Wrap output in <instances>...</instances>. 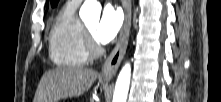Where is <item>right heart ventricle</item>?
Wrapping results in <instances>:
<instances>
[{
	"label": "right heart ventricle",
	"instance_id": "obj_1",
	"mask_svg": "<svg viewBox=\"0 0 221 102\" xmlns=\"http://www.w3.org/2000/svg\"><path fill=\"white\" fill-rule=\"evenodd\" d=\"M78 2L67 1L54 18L49 32L51 60L62 67H79L89 58L84 25L76 14Z\"/></svg>",
	"mask_w": 221,
	"mask_h": 102
}]
</instances>
